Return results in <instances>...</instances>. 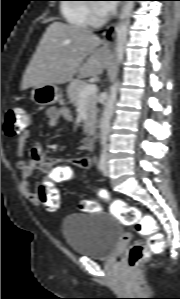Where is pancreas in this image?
<instances>
[{"instance_id":"pancreas-1","label":"pancreas","mask_w":180,"mask_h":299,"mask_svg":"<svg viewBox=\"0 0 180 299\" xmlns=\"http://www.w3.org/2000/svg\"><path fill=\"white\" fill-rule=\"evenodd\" d=\"M87 85L86 82L80 79H74L70 82L67 87V95L70 99V102L77 106L81 97L79 96L82 89ZM97 96L90 95L85 97V107H86V120L84 121L85 128L91 123V121L96 117L97 108H96Z\"/></svg>"}]
</instances>
